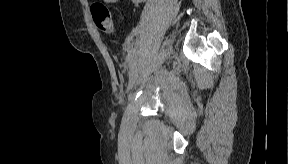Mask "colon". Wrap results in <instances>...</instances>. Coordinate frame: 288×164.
Returning <instances> with one entry per match:
<instances>
[{"label":"colon","instance_id":"colon-1","mask_svg":"<svg viewBox=\"0 0 288 164\" xmlns=\"http://www.w3.org/2000/svg\"><path fill=\"white\" fill-rule=\"evenodd\" d=\"M93 20L97 27L106 33L113 32V20L110 9L103 3L92 7Z\"/></svg>","mask_w":288,"mask_h":164}]
</instances>
